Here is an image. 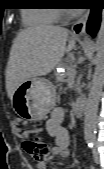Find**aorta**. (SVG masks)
Wrapping results in <instances>:
<instances>
[{
  "mask_svg": "<svg viewBox=\"0 0 104 169\" xmlns=\"http://www.w3.org/2000/svg\"><path fill=\"white\" fill-rule=\"evenodd\" d=\"M96 50L98 65L92 79L84 112V135L85 139L90 142H93L96 139L98 106L104 86V69L102 64L104 54V38L102 33H99L98 35Z\"/></svg>",
  "mask_w": 104,
  "mask_h": 169,
  "instance_id": "obj_1",
  "label": "aorta"
}]
</instances>
